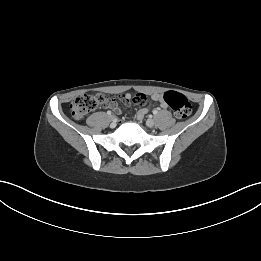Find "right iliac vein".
Returning <instances> with one entry per match:
<instances>
[{
  "mask_svg": "<svg viewBox=\"0 0 261 261\" xmlns=\"http://www.w3.org/2000/svg\"><path fill=\"white\" fill-rule=\"evenodd\" d=\"M109 121L111 122L112 127L116 125V118L113 115L109 116Z\"/></svg>",
  "mask_w": 261,
  "mask_h": 261,
  "instance_id": "right-iliac-vein-1",
  "label": "right iliac vein"
}]
</instances>
